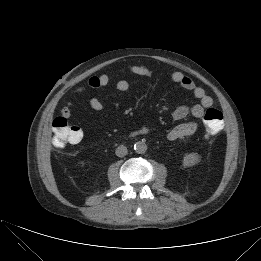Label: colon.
Instances as JSON below:
<instances>
[{
    "instance_id": "colon-1",
    "label": "colon",
    "mask_w": 261,
    "mask_h": 261,
    "mask_svg": "<svg viewBox=\"0 0 261 261\" xmlns=\"http://www.w3.org/2000/svg\"><path fill=\"white\" fill-rule=\"evenodd\" d=\"M208 136L219 133L223 127V114L220 110L209 107L203 116ZM53 145L63 148L68 144H77L82 139V131L77 126H71L64 117H57L52 122Z\"/></svg>"
}]
</instances>
